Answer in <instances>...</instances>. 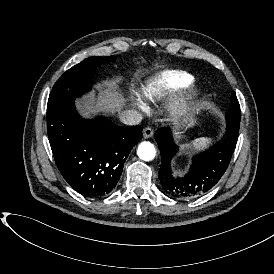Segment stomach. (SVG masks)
<instances>
[{"mask_svg": "<svg viewBox=\"0 0 274 274\" xmlns=\"http://www.w3.org/2000/svg\"><path fill=\"white\" fill-rule=\"evenodd\" d=\"M185 122H186V125H187L188 127H192V126L194 125V123H195V118H194L193 116H189V117L185 120Z\"/></svg>", "mask_w": 274, "mask_h": 274, "instance_id": "obj_1", "label": "stomach"}]
</instances>
